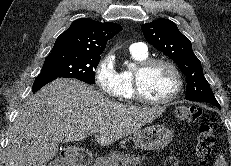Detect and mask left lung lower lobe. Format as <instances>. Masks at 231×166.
I'll return each instance as SVG.
<instances>
[{"mask_svg": "<svg viewBox=\"0 0 231 166\" xmlns=\"http://www.w3.org/2000/svg\"><path fill=\"white\" fill-rule=\"evenodd\" d=\"M207 103L213 104V105L217 106L218 108H221L218 102H207Z\"/></svg>", "mask_w": 231, "mask_h": 166, "instance_id": "1", "label": "left lung lower lobe"}]
</instances>
